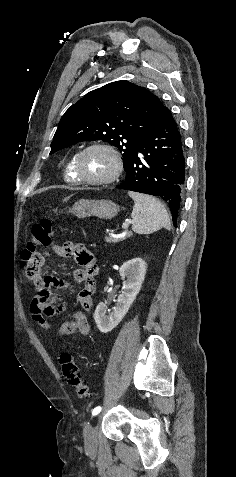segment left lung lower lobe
I'll use <instances>...</instances> for the list:
<instances>
[{"mask_svg": "<svg viewBox=\"0 0 236 477\" xmlns=\"http://www.w3.org/2000/svg\"><path fill=\"white\" fill-rule=\"evenodd\" d=\"M125 180L117 188L161 197L177 227L185 183V158L181 136L171 111L161 114L125 168Z\"/></svg>", "mask_w": 236, "mask_h": 477, "instance_id": "0a47b994", "label": "left lung lower lobe"}]
</instances>
